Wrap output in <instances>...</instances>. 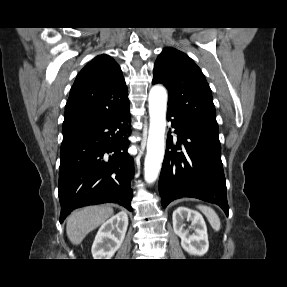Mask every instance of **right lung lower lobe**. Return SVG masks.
Masks as SVG:
<instances>
[{"label":"right lung lower lobe","instance_id":"98d812e1","mask_svg":"<svg viewBox=\"0 0 287 287\" xmlns=\"http://www.w3.org/2000/svg\"><path fill=\"white\" fill-rule=\"evenodd\" d=\"M129 106L63 131L58 183L60 222L77 208L107 202L132 211L130 182L134 165L127 153Z\"/></svg>","mask_w":287,"mask_h":287}]
</instances>
